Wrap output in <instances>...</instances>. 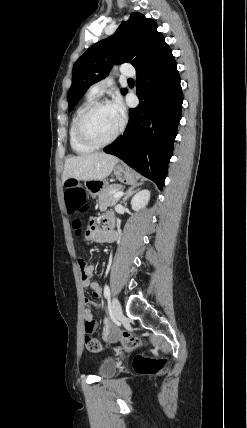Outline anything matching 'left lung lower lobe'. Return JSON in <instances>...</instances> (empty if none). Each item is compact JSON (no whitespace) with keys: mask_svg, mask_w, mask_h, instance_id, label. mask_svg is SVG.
Wrapping results in <instances>:
<instances>
[{"mask_svg":"<svg viewBox=\"0 0 247 428\" xmlns=\"http://www.w3.org/2000/svg\"><path fill=\"white\" fill-rule=\"evenodd\" d=\"M139 105L129 109L123 135L104 152L115 155L161 190L182 117L183 93L172 50L136 69Z\"/></svg>","mask_w":247,"mask_h":428,"instance_id":"0a47b994","label":"left lung lower lobe"}]
</instances>
